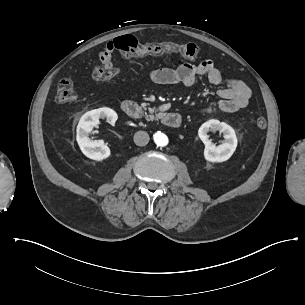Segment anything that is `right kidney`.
<instances>
[{
    "mask_svg": "<svg viewBox=\"0 0 305 305\" xmlns=\"http://www.w3.org/2000/svg\"><path fill=\"white\" fill-rule=\"evenodd\" d=\"M101 118H107L110 123H114L118 119V115L114 110L106 107L92 110L81 117L77 127L78 146L87 158L94 161L105 160L111 155L109 147L103 146L101 149H96L101 142L88 137V133L93 130Z\"/></svg>",
    "mask_w": 305,
    "mask_h": 305,
    "instance_id": "obj_1",
    "label": "right kidney"
}]
</instances>
